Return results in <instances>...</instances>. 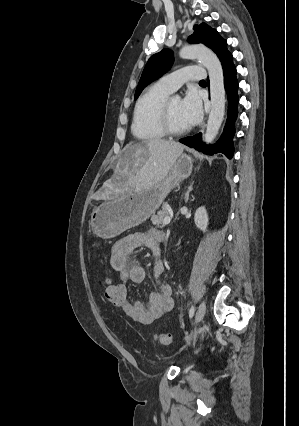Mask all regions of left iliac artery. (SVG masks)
<instances>
[{"instance_id":"1","label":"left iliac artery","mask_w":299,"mask_h":426,"mask_svg":"<svg viewBox=\"0 0 299 426\" xmlns=\"http://www.w3.org/2000/svg\"><path fill=\"white\" fill-rule=\"evenodd\" d=\"M195 312V307L192 305L190 310H189V317L192 318Z\"/></svg>"}]
</instances>
